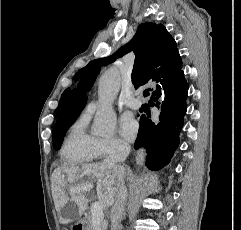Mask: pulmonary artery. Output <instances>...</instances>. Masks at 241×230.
<instances>
[{"label": "pulmonary artery", "instance_id": "obj_1", "mask_svg": "<svg viewBox=\"0 0 241 230\" xmlns=\"http://www.w3.org/2000/svg\"><path fill=\"white\" fill-rule=\"evenodd\" d=\"M125 105L131 109H139L142 102L136 97H131L125 100ZM97 107L98 103L96 101H92L87 105L86 111L92 113L97 109Z\"/></svg>", "mask_w": 241, "mask_h": 230}]
</instances>
